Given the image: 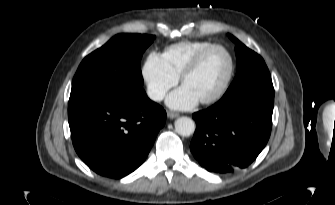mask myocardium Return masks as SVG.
Returning <instances> with one entry per match:
<instances>
[{"instance_id": "myocardium-1", "label": "myocardium", "mask_w": 335, "mask_h": 205, "mask_svg": "<svg viewBox=\"0 0 335 205\" xmlns=\"http://www.w3.org/2000/svg\"><path fill=\"white\" fill-rule=\"evenodd\" d=\"M215 49H221L223 50L230 61V68H229V72L227 74V77L225 78L224 82L222 83V85L220 86V88L210 97L199 100V102L203 105H209V104H213L215 102H217L218 100H220L225 93L227 92V90L229 89V86L233 80L234 74H235V69H236V63H235V58L232 54V52L224 45L222 44H212L206 48H204L203 50H201L194 58L193 60L188 64V66L183 70L182 74L180 75V80L181 83L184 84L185 80L191 76L192 74H194L199 67L201 66L203 60L205 59V57L207 56L208 53H210L212 50Z\"/></svg>"}]
</instances>
